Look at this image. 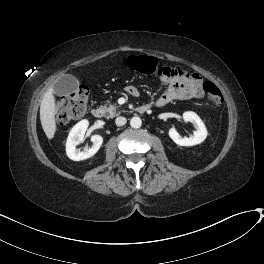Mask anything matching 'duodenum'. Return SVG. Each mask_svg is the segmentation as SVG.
<instances>
[{
  "mask_svg": "<svg viewBox=\"0 0 264 264\" xmlns=\"http://www.w3.org/2000/svg\"><path fill=\"white\" fill-rule=\"evenodd\" d=\"M134 96H138L139 95V91L137 89H135L132 93ZM149 110V106L147 105H141L139 108H138V111L140 113H144L146 111ZM105 114V110L102 106H95L93 109H92V115L94 118L96 119H102L103 116Z\"/></svg>",
  "mask_w": 264,
  "mask_h": 264,
  "instance_id": "410a0bca",
  "label": "duodenum"
}]
</instances>
